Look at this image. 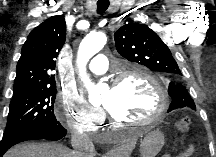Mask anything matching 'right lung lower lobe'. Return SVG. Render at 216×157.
Listing matches in <instances>:
<instances>
[{
    "mask_svg": "<svg viewBox=\"0 0 216 157\" xmlns=\"http://www.w3.org/2000/svg\"><path fill=\"white\" fill-rule=\"evenodd\" d=\"M66 133L67 130L64 129L59 123L55 125L36 126L28 130L13 134L2 139L0 145V157H3L4 153L11 146L17 143L39 139L56 141L63 138L66 135Z\"/></svg>",
    "mask_w": 216,
    "mask_h": 157,
    "instance_id": "obj_1",
    "label": "right lung lower lobe"
}]
</instances>
